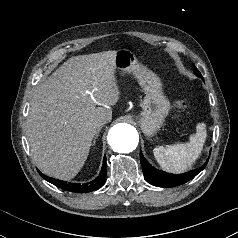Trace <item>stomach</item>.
Masks as SVG:
<instances>
[{
	"mask_svg": "<svg viewBox=\"0 0 238 238\" xmlns=\"http://www.w3.org/2000/svg\"><path fill=\"white\" fill-rule=\"evenodd\" d=\"M116 69L121 73L134 72L146 96L142 101V111L137 121L142 132L148 138L154 137L164 124L170 110V102L162 92L160 78L138 63L135 55L129 50L117 51Z\"/></svg>",
	"mask_w": 238,
	"mask_h": 238,
	"instance_id": "1",
	"label": "stomach"
}]
</instances>
